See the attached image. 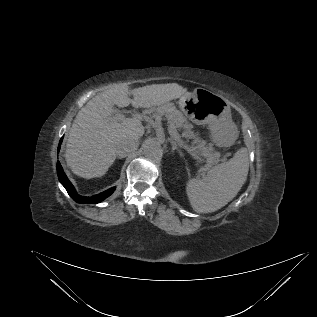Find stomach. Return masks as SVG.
<instances>
[{"label": "stomach", "mask_w": 317, "mask_h": 317, "mask_svg": "<svg viewBox=\"0 0 317 317\" xmlns=\"http://www.w3.org/2000/svg\"><path fill=\"white\" fill-rule=\"evenodd\" d=\"M179 106L195 122L208 124L212 138L218 145L230 146L237 139L238 131L231 119L230 106L221 95L196 88L192 93L181 96ZM199 113L203 119L199 118Z\"/></svg>", "instance_id": "obj_1"}]
</instances>
